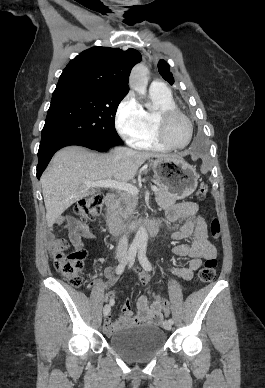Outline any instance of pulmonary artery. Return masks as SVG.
Here are the masks:
<instances>
[{
    "label": "pulmonary artery",
    "instance_id": "e3ab8cb5",
    "mask_svg": "<svg viewBox=\"0 0 265 388\" xmlns=\"http://www.w3.org/2000/svg\"><path fill=\"white\" fill-rule=\"evenodd\" d=\"M152 86H155L157 90H170V83H163L161 79H152L150 81Z\"/></svg>",
    "mask_w": 265,
    "mask_h": 388
}]
</instances>
